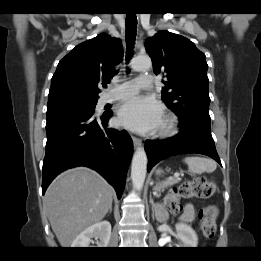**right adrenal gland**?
<instances>
[{"label": "right adrenal gland", "instance_id": "right-adrenal-gland-1", "mask_svg": "<svg viewBox=\"0 0 261 261\" xmlns=\"http://www.w3.org/2000/svg\"><path fill=\"white\" fill-rule=\"evenodd\" d=\"M112 212V207H110V209H109V213H111Z\"/></svg>", "mask_w": 261, "mask_h": 261}]
</instances>
